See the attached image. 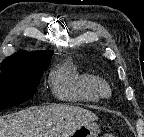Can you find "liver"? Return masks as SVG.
<instances>
[{
  "mask_svg": "<svg viewBox=\"0 0 144 137\" xmlns=\"http://www.w3.org/2000/svg\"><path fill=\"white\" fill-rule=\"evenodd\" d=\"M98 119L93 112L65 104L31 107L0 118V137H68Z\"/></svg>",
  "mask_w": 144,
  "mask_h": 137,
  "instance_id": "1",
  "label": "liver"
}]
</instances>
